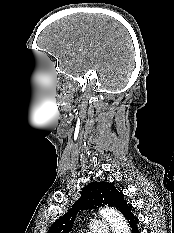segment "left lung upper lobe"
I'll use <instances>...</instances> for the list:
<instances>
[{
    "mask_svg": "<svg viewBox=\"0 0 174 233\" xmlns=\"http://www.w3.org/2000/svg\"><path fill=\"white\" fill-rule=\"evenodd\" d=\"M104 205L115 207L124 217L132 211V206L126 202L124 194L112 183L92 182L82 189L81 197L72 208L50 226L48 233H70L79 211L97 209Z\"/></svg>",
    "mask_w": 174,
    "mask_h": 233,
    "instance_id": "1",
    "label": "left lung upper lobe"
}]
</instances>
